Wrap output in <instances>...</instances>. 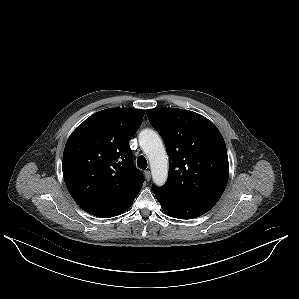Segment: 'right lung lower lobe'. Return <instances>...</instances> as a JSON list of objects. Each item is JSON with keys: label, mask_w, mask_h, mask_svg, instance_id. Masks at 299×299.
Returning a JSON list of instances; mask_svg holds the SVG:
<instances>
[{"label": "right lung lower lobe", "mask_w": 299, "mask_h": 299, "mask_svg": "<svg viewBox=\"0 0 299 299\" xmlns=\"http://www.w3.org/2000/svg\"><path fill=\"white\" fill-rule=\"evenodd\" d=\"M114 208H115L114 203L107 202V203H103L100 206H98L95 211H93L94 209L91 211L84 210V209L83 210L88 212L89 214L95 215L100 218H109L110 216H113L110 214L113 212V210H115Z\"/></svg>", "instance_id": "98d812e1"}]
</instances>
